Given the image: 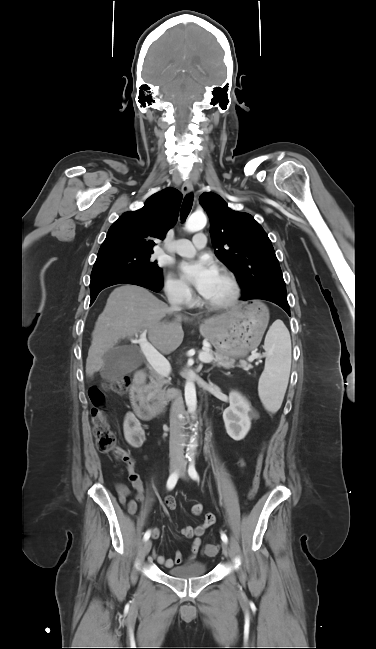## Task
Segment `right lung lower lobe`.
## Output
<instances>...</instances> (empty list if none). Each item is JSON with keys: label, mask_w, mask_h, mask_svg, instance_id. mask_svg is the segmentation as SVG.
<instances>
[{"label": "right lung lower lobe", "mask_w": 376, "mask_h": 649, "mask_svg": "<svg viewBox=\"0 0 376 649\" xmlns=\"http://www.w3.org/2000/svg\"><path fill=\"white\" fill-rule=\"evenodd\" d=\"M120 283L142 286L154 292H159L163 286L162 276L154 277L144 273H131L126 271L105 272L100 275L91 277V304L94 302L101 290Z\"/></svg>", "instance_id": "right-lung-lower-lobe-1"}]
</instances>
